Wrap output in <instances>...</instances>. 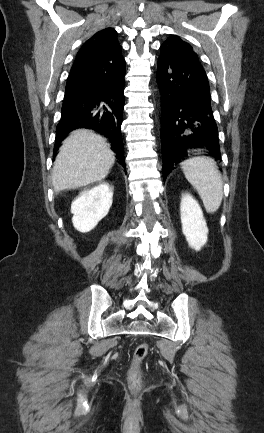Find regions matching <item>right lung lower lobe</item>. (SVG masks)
Here are the masks:
<instances>
[{"label":"right lung lower lobe","instance_id":"obj_1","mask_svg":"<svg viewBox=\"0 0 264 433\" xmlns=\"http://www.w3.org/2000/svg\"><path fill=\"white\" fill-rule=\"evenodd\" d=\"M125 61L76 60L71 68L56 127L60 142L76 128H89L110 139L116 157L125 166L121 134L124 108Z\"/></svg>","mask_w":264,"mask_h":433}]
</instances>
